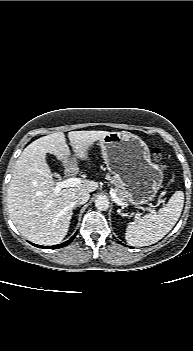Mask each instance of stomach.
Returning <instances> with one entry per match:
<instances>
[{
	"instance_id": "stomach-1",
	"label": "stomach",
	"mask_w": 193,
	"mask_h": 351,
	"mask_svg": "<svg viewBox=\"0 0 193 351\" xmlns=\"http://www.w3.org/2000/svg\"><path fill=\"white\" fill-rule=\"evenodd\" d=\"M107 169L119 177L128 192V202L140 208L152 201L162 181V169L151 160L147 144L129 132H110L100 139Z\"/></svg>"
}]
</instances>
